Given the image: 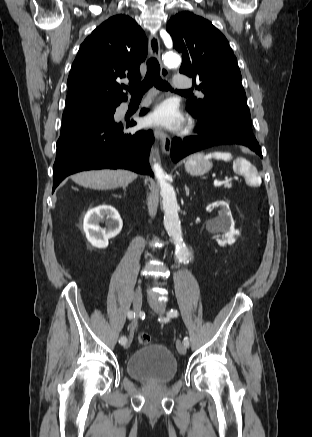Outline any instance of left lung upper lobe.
Wrapping results in <instances>:
<instances>
[{"label": "left lung upper lobe", "mask_w": 312, "mask_h": 437, "mask_svg": "<svg viewBox=\"0 0 312 437\" xmlns=\"http://www.w3.org/2000/svg\"><path fill=\"white\" fill-rule=\"evenodd\" d=\"M167 32L183 57L180 72L193 77L194 85L205 95L188 100V111L255 140L237 59L225 36L211 22L189 11L171 17Z\"/></svg>", "instance_id": "1"}]
</instances>
